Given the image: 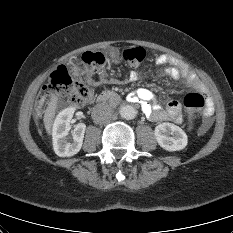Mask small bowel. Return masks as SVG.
<instances>
[{"instance_id": "1", "label": "small bowel", "mask_w": 233, "mask_h": 233, "mask_svg": "<svg viewBox=\"0 0 233 233\" xmlns=\"http://www.w3.org/2000/svg\"><path fill=\"white\" fill-rule=\"evenodd\" d=\"M155 63L159 66L169 65L164 74L173 79L182 80L189 87L196 91L207 95V90L200 79L189 71L187 68L182 67L177 61L169 55H159ZM138 71H132L130 73V79L135 80L138 78ZM153 93L146 88H140L136 92L131 93L128 96V101L131 103L139 104L144 114L152 121H172L175 123H181L184 119L181 103L177 100L169 102L165 107H161L157 103H152ZM213 104L210 100L207 101L206 108L203 111L205 119L201 125V132L206 131L211 121L209 116L213 113Z\"/></svg>"}]
</instances>
